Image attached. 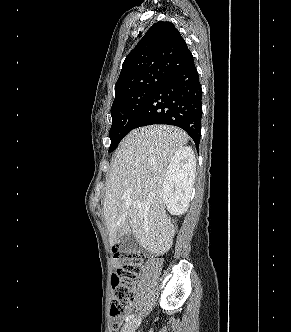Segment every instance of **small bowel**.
Instances as JSON below:
<instances>
[{
  "label": "small bowel",
  "instance_id": "1",
  "mask_svg": "<svg viewBox=\"0 0 291 332\" xmlns=\"http://www.w3.org/2000/svg\"><path fill=\"white\" fill-rule=\"evenodd\" d=\"M113 264H114L115 266H118V265L120 264V260H119V259H116V257H115V259L113 260Z\"/></svg>",
  "mask_w": 291,
  "mask_h": 332
}]
</instances>
